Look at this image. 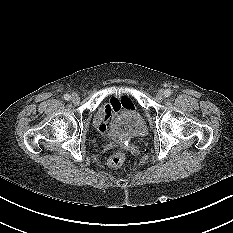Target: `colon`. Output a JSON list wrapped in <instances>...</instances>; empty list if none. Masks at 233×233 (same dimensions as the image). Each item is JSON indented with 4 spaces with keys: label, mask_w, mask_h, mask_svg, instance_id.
Masks as SVG:
<instances>
[{
    "label": "colon",
    "mask_w": 233,
    "mask_h": 233,
    "mask_svg": "<svg viewBox=\"0 0 233 233\" xmlns=\"http://www.w3.org/2000/svg\"><path fill=\"white\" fill-rule=\"evenodd\" d=\"M125 155L122 151H116L108 160V165L117 168L124 163Z\"/></svg>",
    "instance_id": "1"
}]
</instances>
